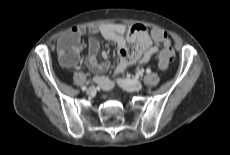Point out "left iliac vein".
Returning <instances> with one entry per match:
<instances>
[{"instance_id": "4c4485c4", "label": "left iliac vein", "mask_w": 230, "mask_h": 155, "mask_svg": "<svg viewBox=\"0 0 230 155\" xmlns=\"http://www.w3.org/2000/svg\"><path fill=\"white\" fill-rule=\"evenodd\" d=\"M117 84L123 89L133 92L142 89V83L133 79H117Z\"/></svg>"}]
</instances>
